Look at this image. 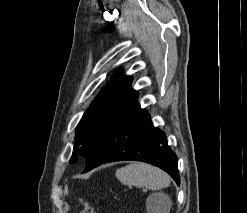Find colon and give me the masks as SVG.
<instances>
[{
	"label": "colon",
	"instance_id": "1",
	"mask_svg": "<svg viewBox=\"0 0 247 213\" xmlns=\"http://www.w3.org/2000/svg\"><path fill=\"white\" fill-rule=\"evenodd\" d=\"M82 213H95V211L90 204L85 202L83 203Z\"/></svg>",
	"mask_w": 247,
	"mask_h": 213
}]
</instances>
